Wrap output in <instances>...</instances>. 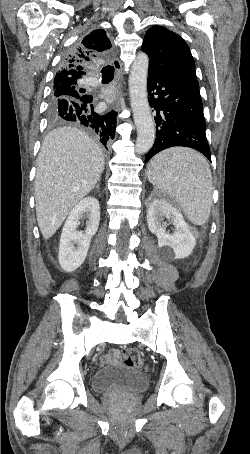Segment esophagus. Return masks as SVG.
<instances>
[{
  "label": "esophagus",
  "instance_id": "1",
  "mask_svg": "<svg viewBox=\"0 0 250 454\" xmlns=\"http://www.w3.org/2000/svg\"><path fill=\"white\" fill-rule=\"evenodd\" d=\"M114 65H115L116 72H117V78H118V80H121V78H122V65H121L120 61H117ZM113 108L115 110L119 109V102L118 101H116L113 104Z\"/></svg>",
  "mask_w": 250,
  "mask_h": 454
}]
</instances>
